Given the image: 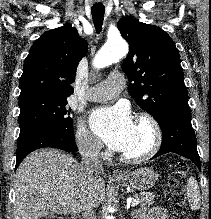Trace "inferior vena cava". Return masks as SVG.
Returning a JSON list of instances; mask_svg holds the SVG:
<instances>
[{"instance_id":"1","label":"inferior vena cava","mask_w":211,"mask_h":219,"mask_svg":"<svg viewBox=\"0 0 211 219\" xmlns=\"http://www.w3.org/2000/svg\"><path fill=\"white\" fill-rule=\"evenodd\" d=\"M101 147L92 139H87L80 148L82 163L84 168L90 173L103 170V167L98 159V154ZM82 219H96L94 209L91 205H85L82 210Z\"/></svg>"}]
</instances>
